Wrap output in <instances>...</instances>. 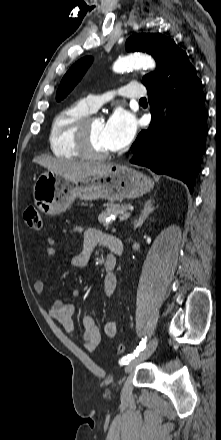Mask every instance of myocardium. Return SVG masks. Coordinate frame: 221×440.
I'll return each instance as SVG.
<instances>
[{"instance_id":"obj_1","label":"myocardium","mask_w":221,"mask_h":440,"mask_svg":"<svg viewBox=\"0 0 221 440\" xmlns=\"http://www.w3.org/2000/svg\"><path fill=\"white\" fill-rule=\"evenodd\" d=\"M97 119V116L88 114L82 117L75 125L74 128V140L76 147L81 155L88 159L102 160L111 155L110 151L100 152L93 148L90 140L89 127L93 120Z\"/></svg>"}]
</instances>
